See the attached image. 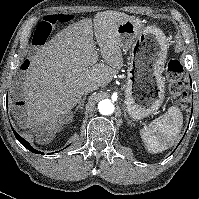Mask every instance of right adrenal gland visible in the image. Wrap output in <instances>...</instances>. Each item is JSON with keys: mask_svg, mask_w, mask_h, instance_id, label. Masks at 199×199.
Listing matches in <instances>:
<instances>
[{"mask_svg": "<svg viewBox=\"0 0 199 199\" xmlns=\"http://www.w3.org/2000/svg\"><path fill=\"white\" fill-rule=\"evenodd\" d=\"M85 99H86V96H84V97L81 99V101L79 102L78 106H77L76 109H75L76 111H77L78 109H83Z\"/></svg>", "mask_w": 199, "mask_h": 199, "instance_id": "2a0ac1e0", "label": "right adrenal gland"}]
</instances>
